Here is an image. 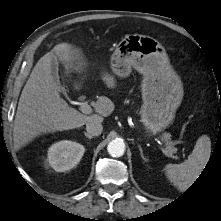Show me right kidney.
I'll return each instance as SVG.
<instances>
[{
    "label": "right kidney",
    "instance_id": "right-kidney-1",
    "mask_svg": "<svg viewBox=\"0 0 221 221\" xmlns=\"http://www.w3.org/2000/svg\"><path fill=\"white\" fill-rule=\"evenodd\" d=\"M84 152L83 145L69 140H62L49 147L47 160L55 171L64 172L75 167Z\"/></svg>",
    "mask_w": 221,
    "mask_h": 221
}]
</instances>
